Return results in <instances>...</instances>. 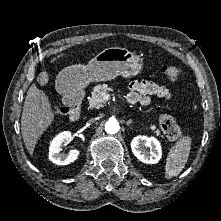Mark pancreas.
I'll list each match as a JSON object with an SVG mask.
<instances>
[{"label": "pancreas", "mask_w": 221, "mask_h": 221, "mask_svg": "<svg viewBox=\"0 0 221 221\" xmlns=\"http://www.w3.org/2000/svg\"><path fill=\"white\" fill-rule=\"evenodd\" d=\"M112 91H113V89L111 87H109L107 84L96 85L93 88V91L91 93L92 95L89 100L90 107H95L97 109L103 107L105 104V101H103L104 94H108L109 92H112ZM150 129L154 130L156 135L160 134V131L158 129H156V127L154 125H151Z\"/></svg>", "instance_id": "pancreas-1"}]
</instances>
